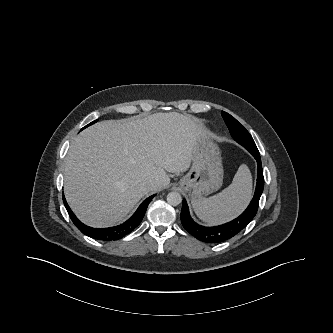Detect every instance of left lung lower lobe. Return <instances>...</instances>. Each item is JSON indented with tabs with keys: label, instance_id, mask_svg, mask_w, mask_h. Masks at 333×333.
<instances>
[{
	"label": "left lung lower lobe",
	"instance_id": "obj_1",
	"mask_svg": "<svg viewBox=\"0 0 333 333\" xmlns=\"http://www.w3.org/2000/svg\"><path fill=\"white\" fill-rule=\"evenodd\" d=\"M257 161V183L254 197L247 209L236 219L215 227H204L195 223L190 217L188 205L183 199L181 222L183 227L195 238L205 243H220L228 240L244 229L257 213L259 200L263 192V169L258 150H248Z\"/></svg>",
	"mask_w": 333,
	"mask_h": 333
}]
</instances>
